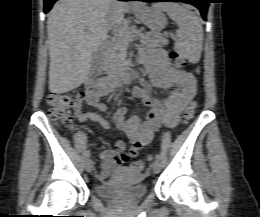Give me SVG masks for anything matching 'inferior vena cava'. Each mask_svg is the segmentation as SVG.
<instances>
[{
    "mask_svg": "<svg viewBox=\"0 0 260 217\" xmlns=\"http://www.w3.org/2000/svg\"><path fill=\"white\" fill-rule=\"evenodd\" d=\"M118 1L117 0H111V11H112V16L114 18V21H113V32H117L121 26L120 24L118 23V17L120 16V10L118 8Z\"/></svg>",
    "mask_w": 260,
    "mask_h": 217,
    "instance_id": "inferior-vena-cava-1",
    "label": "inferior vena cava"
}]
</instances>
